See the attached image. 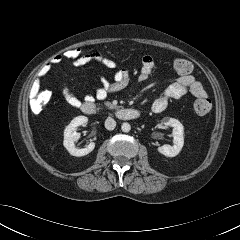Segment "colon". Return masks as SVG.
Instances as JSON below:
<instances>
[{
  "instance_id": "obj_1",
  "label": "colon",
  "mask_w": 240,
  "mask_h": 240,
  "mask_svg": "<svg viewBox=\"0 0 240 240\" xmlns=\"http://www.w3.org/2000/svg\"><path fill=\"white\" fill-rule=\"evenodd\" d=\"M85 52L79 47H71L61 53L63 59L68 60L74 66L79 67L83 65V59L85 57ZM173 68L179 74H190L193 71V65L190 61L184 58H176L173 61ZM49 95L45 92L31 97L30 107L34 113H39L42 111L44 105L48 102ZM193 108L197 115L200 117H205L209 114L211 110V102L208 98H199L193 102Z\"/></svg>"
}]
</instances>
